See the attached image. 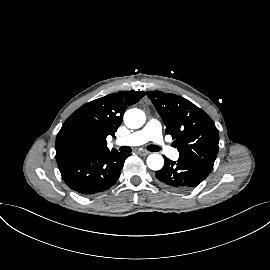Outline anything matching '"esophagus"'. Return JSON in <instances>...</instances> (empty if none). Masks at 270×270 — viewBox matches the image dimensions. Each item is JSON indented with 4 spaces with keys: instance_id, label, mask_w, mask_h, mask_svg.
Returning a JSON list of instances; mask_svg holds the SVG:
<instances>
[{
    "instance_id": "obj_1",
    "label": "esophagus",
    "mask_w": 270,
    "mask_h": 270,
    "mask_svg": "<svg viewBox=\"0 0 270 270\" xmlns=\"http://www.w3.org/2000/svg\"><path fill=\"white\" fill-rule=\"evenodd\" d=\"M138 153H139L140 155L146 156V155H148L150 152H148V151H146V150L140 149V150L138 151Z\"/></svg>"
}]
</instances>
